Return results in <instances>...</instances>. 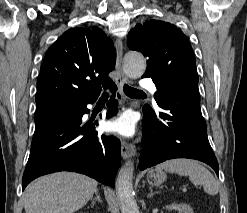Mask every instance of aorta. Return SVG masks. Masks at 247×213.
Listing matches in <instances>:
<instances>
[{"label": "aorta", "instance_id": "aorta-1", "mask_svg": "<svg viewBox=\"0 0 247 213\" xmlns=\"http://www.w3.org/2000/svg\"><path fill=\"white\" fill-rule=\"evenodd\" d=\"M123 69L128 77L139 78L146 70V60L139 52H127ZM133 171L132 165L124 166L117 175L115 188L120 201L121 213H139L138 206L133 199Z\"/></svg>", "mask_w": 247, "mask_h": 213}]
</instances>
